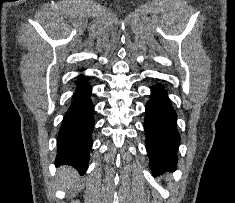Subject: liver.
I'll use <instances>...</instances> for the list:
<instances>
[{
    "label": "liver",
    "mask_w": 235,
    "mask_h": 203,
    "mask_svg": "<svg viewBox=\"0 0 235 203\" xmlns=\"http://www.w3.org/2000/svg\"><path fill=\"white\" fill-rule=\"evenodd\" d=\"M60 182L64 188H69L76 179L77 173L70 167H61L58 171Z\"/></svg>",
    "instance_id": "liver-1"
}]
</instances>
